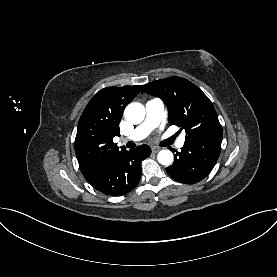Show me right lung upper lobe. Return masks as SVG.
Wrapping results in <instances>:
<instances>
[{
	"label": "right lung upper lobe",
	"instance_id": "1",
	"mask_svg": "<svg viewBox=\"0 0 277 277\" xmlns=\"http://www.w3.org/2000/svg\"><path fill=\"white\" fill-rule=\"evenodd\" d=\"M142 86L107 87L98 91L84 109L77 128L75 153L86 180L99 173L114 157L125 151L113 143L119 136L124 108Z\"/></svg>",
	"mask_w": 277,
	"mask_h": 277
}]
</instances>
